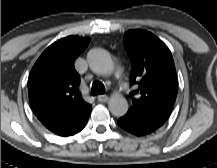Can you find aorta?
I'll use <instances>...</instances> for the list:
<instances>
[{
  "label": "aorta",
  "mask_w": 217,
  "mask_h": 168,
  "mask_svg": "<svg viewBox=\"0 0 217 168\" xmlns=\"http://www.w3.org/2000/svg\"><path fill=\"white\" fill-rule=\"evenodd\" d=\"M87 62L90 69L100 75H109L114 69L110 55L102 49L90 50L87 54ZM108 107L114 116L121 117L128 111V102L124 96L113 94L109 99Z\"/></svg>",
  "instance_id": "1"
}]
</instances>
